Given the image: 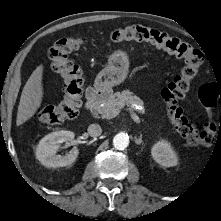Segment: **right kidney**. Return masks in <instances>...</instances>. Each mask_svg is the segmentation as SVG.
Masks as SVG:
<instances>
[{"label": "right kidney", "instance_id": "obj_1", "mask_svg": "<svg viewBox=\"0 0 221 221\" xmlns=\"http://www.w3.org/2000/svg\"><path fill=\"white\" fill-rule=\"evenodd\" d=\"M75 134L71 131L52 132L42 138L36 148V158L42 165L50 167H65L74 163L78 157L79 150L73 148L65 156L56 155L57 149L63 142H69L74 139Z\"/></svg>", "mask_w": 221, "mask_h": 221}]
</instances>
